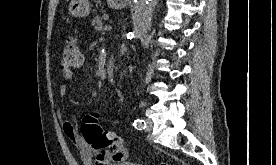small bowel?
Listing matches in <instances>:
<instances>
[{"instance_id":"c3829d8e","label":"small bowel","mask_w":276,"mask_h":165,"mask_svg":"<svg viewBox=\"0 0 276 165\" xmlns=\"http://www.w3.org/2000/svg\"><path fill=\"white\" fill-rule=\"evenodd\" d=\"M61 75L64 80H70L72 78V73H61ZM59 93L61 96H65L67 94V87L61 85L59 87ZM57 117L65 136L78 148L84 165H113L125 160H117L111 153H102L87 145L78 134L75 117L66 116L60 108H57Z\"/></svg>"}]
</instances>
